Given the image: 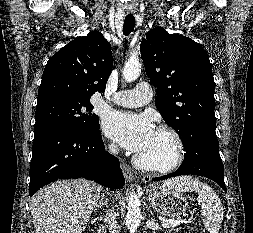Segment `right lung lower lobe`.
<instances>
[{
	"label": "right lung lower lobe",
	"mask_w": 253,
	"mask_h": 233,
	"mask_svg": "<svg viewBox=\"0 0 253 233\" xmlns=\"http://www.w3.org/2000/svg\"><path fill=\"white\" fill-rule=\"evenodd\" d=\"M85 178L112 188L124 186L119 160L105 151L99 127L92 133L47 126L35 130L29 194L57 180Z\"/></svg>",
	"instance_id": "98d812e1"
}]
</instances>
